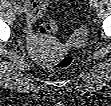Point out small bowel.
<instances>
[{
    "label": "small bowel",
    "mask_w": 111,
    "mask_h": 106,
    "mask_svg": "<svg viewBox=\"0 0 111 106\" xmlns=\"http://www.w3.org/2000/svg\"><path fill=\"white\" fill-rule=\"evenodd\" d=\"M47 1H37V0H26L24 1V7L26 10V19L29 24L27 30L30 38H34L35 35L32 30V25L36 22L38 17H40L46 10Z\"/></svg>",
    "instance_id": "small-bowel-1"
}]
</instances>
